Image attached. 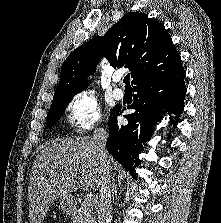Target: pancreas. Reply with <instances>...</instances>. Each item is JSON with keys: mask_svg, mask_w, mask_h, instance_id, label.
I'll use <instances>...</instances> for the list:
<instances>
[{"mask_svg": "<svg viewBox=\"0 0 221 223\" xmlns=\"http://www.w3.org/2000/svg\"><path fill=\"white\" fill-rule=\"evenodd\" d=\"M73 223H96L93 204L83 202L78 210L72 214Z\"/></svg>", "mask_w": 221, "mask_h": 223, "instance_id": "obj_1", "label": "pancreas"}]
</instances>
